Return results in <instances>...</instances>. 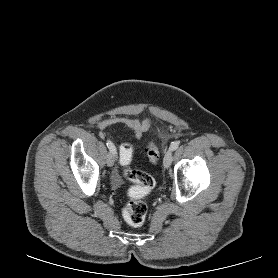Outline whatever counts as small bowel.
Returning a JSON list of instances; mask_svg holds the SVG:
<instances>
[{
	"instance_id": "obj_1",
	"label": "small bowel",
	"mask_w": 278,
	"mask_h": 278,
	"mask_svg": "<svg viewBox=\"0 0 278 278\" xmlns=\"http://www.w3.org/2000/svg\"><path fill=\"white\" fill-rule=\"evenodd\" d=\"M114 125L124 126L132 132L134 138L139 139L142 137L143 133L149 129L150 120H139L137 118L113 116L99 121L97 127L103 131ZM115 181L118 182V179L116 178Z\"/></svg>"
}]
</instances>
